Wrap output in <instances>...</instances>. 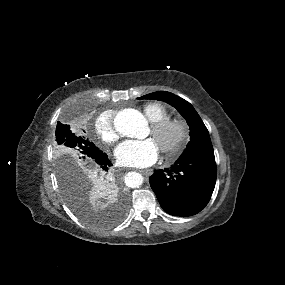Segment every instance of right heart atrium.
Returning <instances> with one entry per match:
<instances>
[{
  "label": "right heart atrium",
  "mask_w": 285,
  "mask_h": 285,
  "mask_svg": "<svg viewBox=\"0 0 285 285\" xmlns=\"http://www.w3.org/2000/svg\"><path fill=\"white\" fill-rule=\"evenodd\" d=\"M94 130L102 143L110 145L119 139V132L115 126V115L112 111H105L98 115L94 122Z\"/></svg>",
  "instance_id": "1"
}]
</instances>
